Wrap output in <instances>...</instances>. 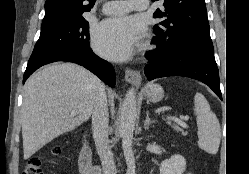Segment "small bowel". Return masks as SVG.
<instances>
[{
  "mask_svg": "<svg viewBox=\"0 0 249 174\" xmlns=\"http://www.w3.org/2000/svg\"><path fill=\"white\" fill-rule=\"evenodd\" d=\"M186 174H193L191 171L187 172Z\"/></svg>",
  "mask_w": 249,
  "mask_h": 174,
  "instance_id": "c3829d8e",
  "label": "small bowel"
}]
</instances>
